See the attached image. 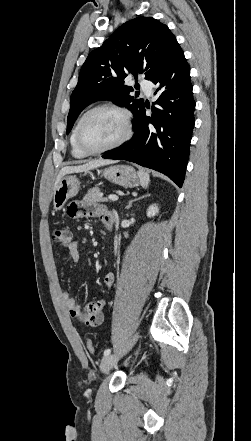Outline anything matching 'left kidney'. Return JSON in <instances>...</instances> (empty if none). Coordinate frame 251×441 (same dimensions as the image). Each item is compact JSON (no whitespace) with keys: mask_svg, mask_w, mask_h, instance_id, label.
I'll return each instance as SVG.
<instances>
[{"mask_svg":"<svg viewBox=\"0 0 251 441\" xmlns=\"http://www.w3.org/2000/svg\"><path fill=\"white\" fill-rule=\"evenodd\" d=\"M158 213H159V208L156 204H152L151 206H149V208L147 210V216L149 218L154 217Z\"/></svg>","mask_w":251,"mask_h":441,"instance_id":"left-kidney-1","label":"left kidney"}]
</instances>
